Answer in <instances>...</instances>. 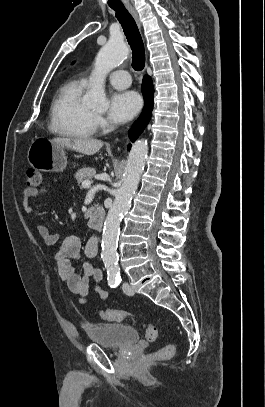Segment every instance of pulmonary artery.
Wrapping results in <instances>:
<instances>
[{"label":"pulmonary artery","instance_id":"e3ab8cb5","mask_svg":"<svg viewBox=\"0 0 265 407\" xmlns=\"http://www.w3.org/2000/svg\"><path fill=\"white\" fill-rule=\"evenodd\" d=\"M108 80L111 85L118 89H125L130 86L131 78L127 71L125 70H116L111 72L108 75ZM82 81L86 83L88 81L87 78H83Z\"/></svg>","mask_w":265,"mask_h":407}]
</instances>
